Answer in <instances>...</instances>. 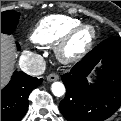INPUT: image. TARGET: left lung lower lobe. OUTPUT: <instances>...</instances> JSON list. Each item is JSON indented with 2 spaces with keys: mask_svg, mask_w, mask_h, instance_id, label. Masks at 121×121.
<instances>
[{
  "mask_svg": "<svg viewBox=\"0 0 121 121\" xmlns=\"http://www.w3.org/2000/svg\"><path fill=\"white\" fill-rule=\"evenodd\" d=\"M100 62L97 79L89 83L87 78ZM61 78L66 95L59 108L68 121L107 119L121 106V38L104 40Z\"/></svg>",
  "mask_w": 121,
  "mask_h": 121,
  "instance_id": "left-lung-lower-lobe-1",
  "label": "left lung lower lobe"
}]
</instances>
